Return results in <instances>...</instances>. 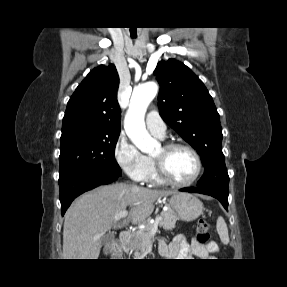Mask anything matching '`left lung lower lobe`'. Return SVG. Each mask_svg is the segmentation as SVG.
<instances>
[{
	"mask_svg": "<svg viewBox=\"0 0 287 287\" xmlns=\"http://www.w3.org/2000/svg\"><path fill=\"white\" fill-rule=\"evenodd\" d=\"M180 191L183 192H190V193H201L205 195H210L212 197L217 198L224 208L228 209V193L222 189L218 188H206V187H188V188H182Z\"/></svg>",
	"mask_w": 287,
	"mask_h": 287,
	"instance_id": "obj_1",
	"label": "left lung lower lobe"
}]
</instances>
